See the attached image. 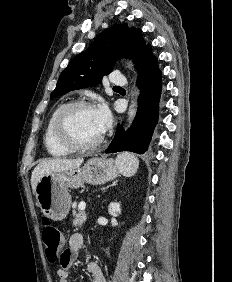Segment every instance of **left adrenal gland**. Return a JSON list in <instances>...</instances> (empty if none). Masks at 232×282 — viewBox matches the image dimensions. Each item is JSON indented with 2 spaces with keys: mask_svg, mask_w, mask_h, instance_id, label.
<instances>
[{
  "mask_svg": "<svg viewBox=\"0 0 232 282\" xmlns=\"http://www.w3.org/2000/svg\"><path fill=\"white\" fill-rule=\"evenodd\" d=\"M117 181H114L111 185L107 186L106 188L103 189V192L106 191L109 187L116 186Z\"/></svg>",
  "mask_w": 232,
  "mask_h": 282,
  "instance_id": "obj_1",
  "label": "left adrenal gland"
}]
</instances>
